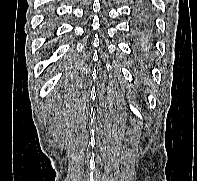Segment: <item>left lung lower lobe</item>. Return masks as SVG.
<instances>
[{
    "label": "left lung lower lobe",
    "instance_id": "left-lung-lower-lobe-1",
    "mask_svg": "<svg viewBox=\"0 0 197 181\" xmlns=\"http://www.w3.org/2000/svg\"><path fill=\"white\" fill-rule=\"evenodd\" d=\"M132 36L139 50L151 48L152 12L148 0H133Z\"/></svg>",
    "mask_w": 197,
    "mask_h": 181
}]
</instances>
